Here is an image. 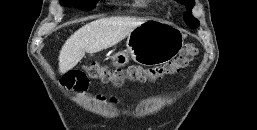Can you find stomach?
<instances>
[{"mask_svg": "<svg viewBox=\"0 0 257 130\" xmlns=\"http://www.w3.org/2000/svg\"><path fill=\"white\" fill-rule=\"evenodd\" d=\"M184 39L185 35L178 27L157 19L147 20L128 35L126 50L114 58H132L145 66L163 64L179 53Z\"/></svg>", "mask_w": 257, "mask_h": 130, "instance_id": "obj_1", "label": "stomach"}]
</instances>
